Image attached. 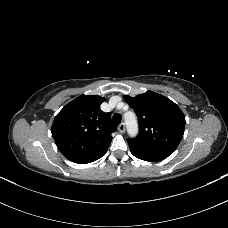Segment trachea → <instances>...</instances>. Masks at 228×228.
I'll return each instance as SVG.
<instances>
[{
    "mask_svg": "<svg viewBox=\"0 0 228 228\" xmlns=\"http://www.w3.org/2000/svg\"><path fill=\"white\" fill-rule=\"evenodd\" d=\"M112 121H113L114 125H119L121 122V115L120 114L113 115Z\"/></svg>",
    "mask_w": 228,
    "mask_h": 228,
    "instance_id": "obj_1",
    "label": "trachea"
}]
</instances>
